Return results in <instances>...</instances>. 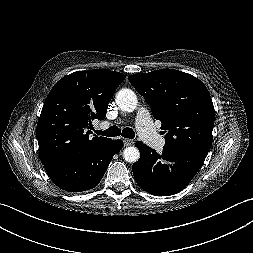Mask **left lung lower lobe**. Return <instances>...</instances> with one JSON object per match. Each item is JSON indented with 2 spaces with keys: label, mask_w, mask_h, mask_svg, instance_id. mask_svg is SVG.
<instances>
[{
  "label": "left lung lower lobe",
  "mask_w": 253,
  "mask_h": 253,
  "mask_svg": "<svg viewBox=\"0 0 253 253\" xmlns=\"http://www.w3.org/2000/svg\"><path fill=\"white\" fill-rule=\"evenodd\" d=\"M140 158L132 166L136 183L146 192L155 196H168L185 188L202 166L206 154L186 152L173 155L155 150L136 142Z\"/></svg>",
  "instance_id": "left-lung-lower-lobe-1"
}]
</instances>
